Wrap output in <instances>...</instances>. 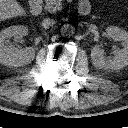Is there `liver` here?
I'll return each instance as SVG.
<instances>
[{
    "instance_id": "1",
    "label": "liver",
    "mask_w": 128,
    "mask_h": 128,
    "mask_svg": "<svg viewBox=\"0 0 128 128\" xmlns=\"http://www.w3.org/2000/svg\"><path fill=\"white\" fill-rule=\"evenodd\" d=\"M25 15L26 10L16 0H0V22Z\"/></svg>"
}]
</instances>
